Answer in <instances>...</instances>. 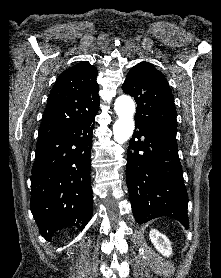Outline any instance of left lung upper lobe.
<instances>
[{
  "label": "left lung upper lobe",
  "mask_w": 221,
  "mask_h": 278,
  "mask_svg": "<svg viewBox=\"0 0 221 278\" xmlns=\"http://www.w3.org/2000/svg\"><path fill=\"white\" fill-rule=\"evenodd\" d=\"M122 89L135 98V121L145 125L177 127L173 95L164 75L152 64L141 62L128 73Z\"/></svg>",
  "instance_id": "left-lung-upper-lobe-1"
}]
</instances>
